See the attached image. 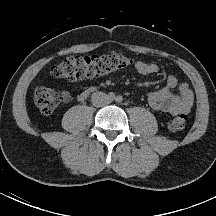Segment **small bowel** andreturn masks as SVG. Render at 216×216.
Here are the masks:
<instances>
[{
	"label": "small bowel",
	"instance_id": "obj_1",
	"mask_svg": "<svg viewBox=\"0 0 216 216\" xmlns=\"http://www.w3.org/2000/svg\"><path fill=\"white\" fill-rule=\"evenodd\" d=\"M136 69L142 75L163 71L158 65L145 61H138ZM76 88L79 90L78 98L81 101L85 100L91 92V89L88 87L77 86ZM174 90H177V92ZM147 102L155 111L172 115L186 114L193 108L194 94L188 82H179L174 74L168 73L165 87L148 93Z\"/></svg>",
	"mask_w": 216,
	"mask_h": 216
}]
</instances>
